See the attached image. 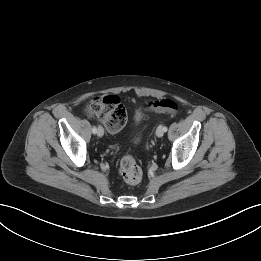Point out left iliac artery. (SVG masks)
I'll return each mask as SVG.
<instances>
[{
	"label": "left iliac artery",
	"mask_w": 261,
	"mask_h": 261,
	"mask_svg": "<svg viewBox=\"0 0 261 261\" xmlns=\"http://www.w3.org/2000/svg\"><path fill=\"white\" fill-rule=\"evenodd\" d=\"M164 131H165V132L167 131V127H164Z\"/></svg>",
	"instance_id": "obj_1"
}]
</instances>
